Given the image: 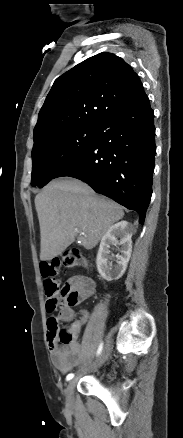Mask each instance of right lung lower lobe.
Instances as JSON below:
<instances>
[{
	"label": "right lung lower lobe",
	"mask_w": 183,
	"mask_h": 438,
	"mask_svg": "<svg viewBox=\"0 0 183 438\" xmlns=\"http://www.w3.org/2000/svg\"><path fill=\"white\" fill-rule=\"evenodd\" d=\"M156 153L154 113L148 96L97 126L92 142L55 176L80 179L97 193L140 214L152 195Z\"/></svg>",
	"instance_id": "obj_1"
}]
</instances>
